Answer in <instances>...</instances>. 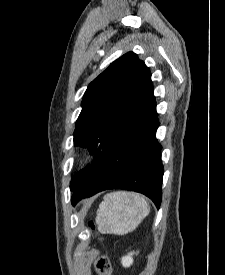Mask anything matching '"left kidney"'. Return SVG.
<instances>
[{"label": "left kidney", "instance_id": "left-kidney-1", "mask_svg": "<svg viewBox=\"0 0 225 275\" xmlns=\"http://www.w3.org/2000/svg\"><path fill=\"white\" fill-rule=\"evenodd\" d=\"M134 252L129 253L127 256H124L121 260L123 267H130L133 264Z\"/></svg>", "mask_w": 225, "mask_h": 275}]
</instances>
